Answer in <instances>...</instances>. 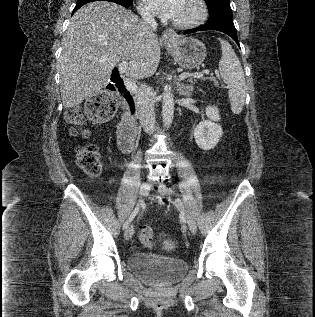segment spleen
Instances as JSON below:
<instances>
[{
	"instance_id": "spleen-1",
	"label": "spleen",
	"mask_w": 315,
	"mask_h": 317,
	"mask_svg": "<svg viewBox=\"0 0 315 317\" xmlns=\"http://www.w3.org/2000/svg\"><path fill=\"white\" fill-rule=\"evenodd\" d=\"M218 41L222 49L219 61L220 75L229 88L232 112L239 114L243 109L247 91L243 68L229 42L221 38H218Z\"/></svg>"
}]
</instances>
